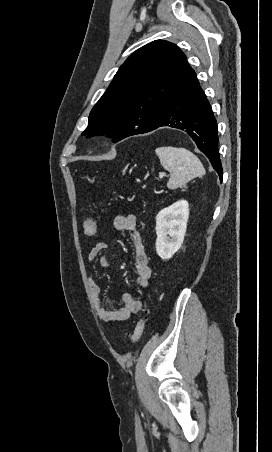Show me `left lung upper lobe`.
<instances>
[{"mask_svg":"<svg viewBox=\"0 0 272 452\" xmlns=\"http://www.w3.org/2000/svg\"><path fill=\"white\" fill-rule=\"evenodd\" d=\"M191 69L173 43L156 40L139 48L120 66L91 110L82 135L107 134L115 143L149 128Z\"/></svg>","mask_w":272,"mask_h":452,"instance_id":"1","label":"left lung upper lobe"}]
</instances>
